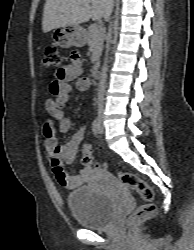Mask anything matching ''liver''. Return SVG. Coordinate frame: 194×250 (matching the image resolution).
I'll use <instances>...</instances> for the list:
<instances>
[{"label": "liver", "instance_id": "1", "mask_svg": "<svg viewBox=\"0 0 194 250\" xmlns=\"http://www.w3.org/2000/svg\"><path fill=\"white\" fill-rule=\"evenodd\" d=\"M112 8L113 0H46L42 29L47 33L56 28L79 25L90 18L108 20Z\"/></svg>", "mask_w": 194, "mask_h": 250}]
</instances>
